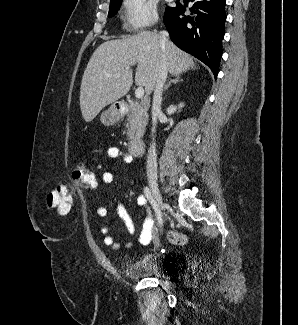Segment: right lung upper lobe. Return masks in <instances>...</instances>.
I'll use <instances>...</instances> for the list:
<instances>
[{"label": "right lung upper lobe", "mask_w": 298, "mask_h": 325, "mask_svg": "<svg viewBox=\"0 0 298 325\" xmlns=\"http://www.w3.org/2000/svg\"><path fill=\"white\" fill-rule=\"evenodd\" d=\"M115 1H117V0H111V2H110V3H112V2H115Z\"/></svg>", "instance_id": "cb5924a9"}]
</instances>
